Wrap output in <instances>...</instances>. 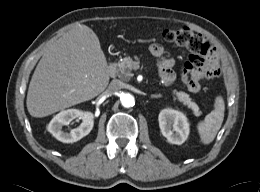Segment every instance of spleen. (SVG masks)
Listing matches in <instances>:
<instances>
[{
    "label": "spleen",
    "instance_id": "spleen-1",
    "mask_svg": "<svg viewBox=\"0 0 260 192\" xmlns=\"http://www.w3.org/2000/svg\"><path fill=\"white\" fill-rule=\"evenodd\" d=\"M224 110V99L219 95L215 98L214 109L197 125L198 133L203 144H210L216 137L223 123Z\"/></svg>",
    "mask_w": 260,
    "mask_h": 192
}]
</instances>
